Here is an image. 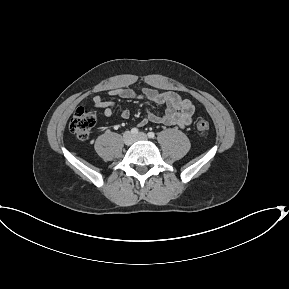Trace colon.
<instances>
[{"label": "colon", "instance_id": "1", "mask_svg": "<svg viewBox=\"0 0 289 289\" xmlns=\"http://www.w3.org/2000/svg\"><path fill=\"white\" fill-rule=\"evenodd\" d=\"M97 120L94 110L80 107L69 122L70 131L79 139H88L92 128ZM196 130L201 137H206L209 132V123L207 120L200 118L196 122Z\"/></svg>", "mask_w": 289, "mask_h": 289}]
</instances>
